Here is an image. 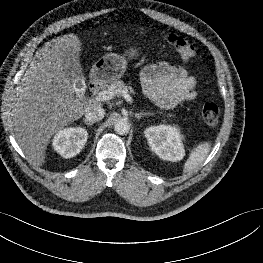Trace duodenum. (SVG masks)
<instances>
[{"label":"duodenum","instance_id":"410a0bca","mask_svg":"<svg viewBox=\"0 0 263 263\" xmlns=\"http://www.w3.org/2000/svg\"><path fill=\"white\" fill-rule=\"evenodd\" d=\"M101 87V84L98 81H92L89 85L91 91H98Z\"/></svg>","mask_w":263,"mask_h":263}]
</instances>
